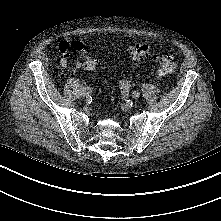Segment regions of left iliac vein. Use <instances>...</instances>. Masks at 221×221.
Masks as SVG:
<instances>
[{"mask_svg": "<svg viewBox=\"0 0 221 221\" xmlns=\"http://www.w3.org/2000/svg\"><path fill=\"white\" fill-rule=\"evenodd\" d=\"M131 96H132L133 99H138L139 96H140V92L139 91H133Z\"/></svg>", "mask_w": 221, "mask_h": 221, "instance_id": "obj_1", "label": "left iliac vein"}]
</instances>
